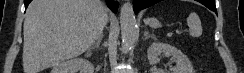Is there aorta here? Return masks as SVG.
I'll return each instance as SVG.
<instances>
[{"label": "aorta", "mask_w": 244, "mask_h": 73, "mask_svg": "<svg viewBox=\"0 0 244 73\" xmlns=\"http://www.w3.org/2000/svg\"><path fill=\"white\" fill-rule=\"evenodd\" d=\"M120 26H121V38H122V48L128 50L132 45L137 24L133 11V7L130 2H126L122 5L120 10Z\"/></svg>", "instance_id": "obj_1"}]
</instances>
